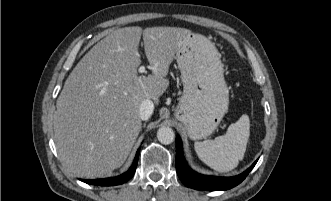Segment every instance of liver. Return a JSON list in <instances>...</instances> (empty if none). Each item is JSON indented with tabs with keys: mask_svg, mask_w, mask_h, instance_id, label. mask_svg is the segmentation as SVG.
<instances>
[{
	"mask_svg": "<svg viewBox=\"0 0 331 201\" xmlns=\"http://www.w3.org/2000/svg\"><path fill=\"white\" fill-rule=\"evenodd\" d=\"M191 31L139 26L113 30L78 62L65 81L53 116L54 140L70 172L106 176L127 159L142 123L141 103L156 104L177 48ZM143 35L152 74L138 76Z\"/></svg>",
	"mask_w": 331,
	"mask_h": 201,
	"instance_id": "6515ba94",
	"label": "liver"
}]
</instances>
